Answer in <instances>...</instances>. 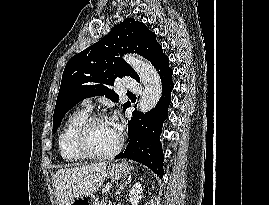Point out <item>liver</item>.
Returning a JSON list of instances; mask_svg holds the SVG:
<instances>
[{
    "mask_svg": "<svg viewBox=\"0 0 269 205\" xmlns=\"http://www.w3.org/2000/svg\"><path fill=\"white\" fill-rule=\"evenodd\" d=\"M106 162L60 169L55 174L54 187L59 205H70L81 196L101 188L106 177Z\"/></svg>",
    "mask_w": 269,
    "mask_h": 205,
    "instance_id": "1",
    "label": "liver"
}]
</instances>
